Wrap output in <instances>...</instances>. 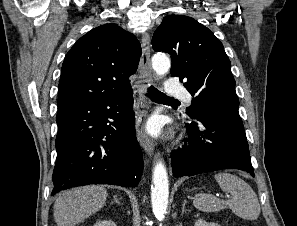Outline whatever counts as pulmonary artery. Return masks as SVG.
<instances>
[{
	"label": "pulmonary artery",
	"instance_id": "1",
	"mask_svg": "<svg viewBox=\"0 0 297 226\" xmlns=\"http://www.w3.org/2000/svg\"><path fill=\"white\" fill-rule=\"evenodd\" d=\"M165 91L168 96L173 98H180L187 102L191 101V95L186 88L178 85L174 78L167 80Z\"/></svg>",
	"mask_w": 297,
	"mask_h": 226
}]
</instances>
